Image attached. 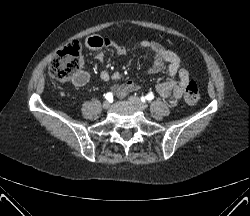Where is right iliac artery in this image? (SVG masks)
<instances>
[{
  "label": "right iliac artery",
  "mask_w": 250,
  "mask_h": 216,
  "mask_svg": "<svg viewBox=\"0 0 250 216\" xmlns=\"http://www.w3.org/2000/svg\"><path fill=\"white\" fill-rule=\"evenodd\" d=\"M105 98L110 101L113 99V94L109 92L105 95Z\"/></svg>",
  "instance_id": "right-iliac-artery-1"
}]
</instances>
